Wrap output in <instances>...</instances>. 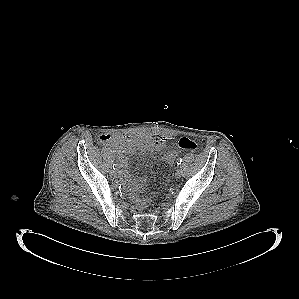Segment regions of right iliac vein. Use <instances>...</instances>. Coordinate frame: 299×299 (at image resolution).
Masks as SVG:
<instances>
[{
    "instance_id": "right-iliac-vein-1",
    "label": "right iliac vein",
    "mask_w": 299,
    "mask_h": 299,
    "mask_svg": "<svg viewBox=\"0 0 299 299\" xmlns=\"http://www.w3.org/2000/svg\"><path fill=\"white\" fill-rule=\"evenodd\" d=\"M110 176H111L112 178H116V177H117V172L111 170V171H110Z\"/></svg>"
}]
</instances>
